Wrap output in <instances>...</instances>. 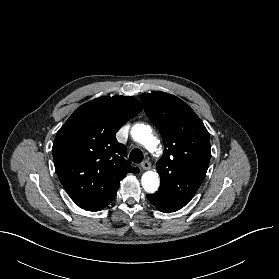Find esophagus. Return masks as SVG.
I'll return each instance as SVG.
<instances>
[{
    "instance_id": "34e87169",
    "label": "esophagus",
    "mask_w": 279,
    "mask_h": 279,
    "mask_svg": "<svg viewBox=\"0 0 279 279\" xmlns=\"http://www.w3.org/2000/svg\"><path fill=\"white\" fill-rule=\"evenodd\" d=\"M141 168L143 169V170H150L151 169V164H150V162L149 161H144V162H142L141 163Z\"/></svg>"
}]
</instances>
